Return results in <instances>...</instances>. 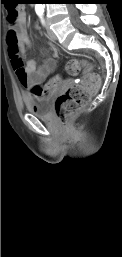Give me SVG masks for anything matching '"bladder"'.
I'll list each match as a JSON object with an SVG mask.
<instances>
[{
    "label": "bladder",
    "instance_id": "31cf9c89",
    "mask_svg": "<svg viewBox=\"0 0 122 257\" xmlns=\"http://www.w3.org/2000/svg\"><path fill=\"white\" fill-rule=\"evenodd\" d=\"M25 106L27 110L38 117H47L51 112V97L45 96H32L26 98Z\"/></svg>",
    "mask_w": 122,
    "mask_h": 257
}]
</instances>
